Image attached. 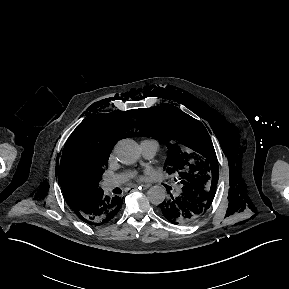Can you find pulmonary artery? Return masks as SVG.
<instances>
[{"instance_id": "obj_1", "label": "pulmonary artery", "mask_w": 289, "mask_h": 289, "mask_svg": "<svg viewBox=\"0 0 289 289\" xmlns=\"http://www.w3.org/2000/svg\"><path fill=\"white\" fill-rule=\"evenodd\" d=\"M141 150L146 158H152L159 150V143L154 139H145L141 142ZM129 176V173H122L108 177L103 181V187L106 190L112 189L125 182Z\"/></svg>"}]
</instances>
